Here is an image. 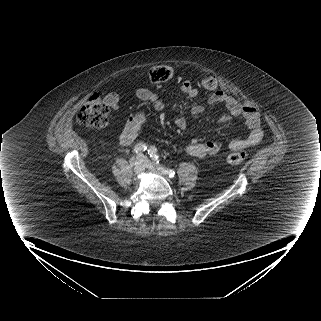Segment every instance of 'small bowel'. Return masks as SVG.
I'll use <instances>...</instances> for the list:
<instances>
[{"label": "small bowel", "mask_w": 321, "mask_h": 321, "mask_svg": "<svg viewBox=\"0 0 321 321\" xmlns=\"http://www.w3.org/2000/svg\"><path fill=\"white\" fill-rule=\"evenodd\" d=\"M183 94L193 100L201 99V91L198 87L194 86L189 80L183 81L181 85ZM136 95L146 101L151 108L156 111H162L166 105L159 100V98L152 92L146 89H138ZM105 101L113 111H118L120 108V98L115 92H110L105 96ZM208 105L224 104L226 107V114L220 115L219 119H234L243 118L246 124L247 135L244 138H235L228 143L230 150H240L257 145L263 137V126L261 117L258 110L249 104H241L234 98L228 96L223 91L216 90L206 98ZM204 111V106L196 103L191 108L193 116L200 115ZM145 114L139 112L133 115L126 124L122 131L119 143L123 147L131 145L139 135V132L144 124ZM175 125L179 129H184L186 126V119L182 115L175 117ZM221 148L218 141H208L204 143H192L184 148V153L188 156L195 158H205L207 156L217 153Z\"/></svg>", "instance_id": "1"}]
</instances>
